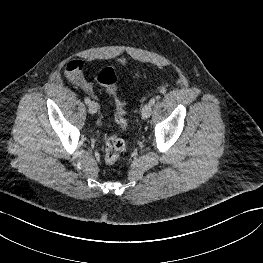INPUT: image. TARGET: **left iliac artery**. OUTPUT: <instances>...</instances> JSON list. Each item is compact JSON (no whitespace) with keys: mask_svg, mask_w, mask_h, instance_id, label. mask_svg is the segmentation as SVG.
<instances>
[{"mask_svg":"<svg viewBox=\"0 0 263 263\" xmlns=\"http://www.w3.org/2000/svg\"><path fill=\"white\" fill-rule=\"evenodd\" d=\"M155 99L154 98H152L150 101H149V104H151V105H153L154 103H155Z\"/></svg>","mask_w":263,"mask_h":263,"instance_id":"44dca946","label":"left iliac artery"}]
</instances>
